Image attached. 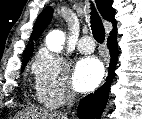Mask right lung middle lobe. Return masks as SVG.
<instances>
[{
  "mask_svg": "<svg viewBox=\"0 0 142 119\" xmlns=\"http://www.w3.org/2000/svg\"><path fill=\"white\" fill-rule=\"evenodd\" d=\"M28 61L24 62L23 65H26ZM23 69V68H22Z\"/></svg>",
  "mask_w": 142,
  "mask_h": 119,
  "instance_id": "dd1d6c3e",
  "label": "right lung middle lobe"
}]
</instances>
